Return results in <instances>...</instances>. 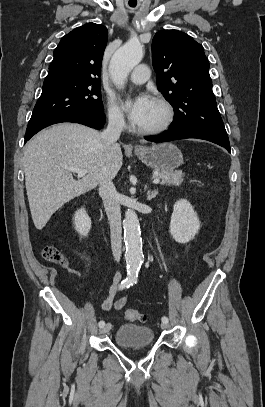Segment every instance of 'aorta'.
Listing matches in <instances>:
<instances>
[{"instance_id":"762f6f07","label":"aorta","mask_w":265,"mask_h":407,"mask_svg":"<svg viewBox=\"0 0 265 407\" xmlns=\"http://www.w3.org/2000/svg\"><path fill=\"white\" fill-rule=\"evenodd\" d=\"M142 58L143 47L137 39L129 40L114 53L109 69L114 83L119 88L124 86L126 77ZM123 228L127 273L129 276H136L143 262V252L139 220L134 210L128 209L125 212Z\"/></svg>"}]
</instances>
